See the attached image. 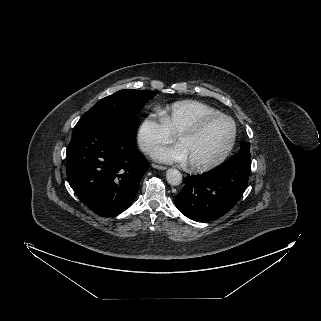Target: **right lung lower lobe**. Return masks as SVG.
I'll use <instances>...</instances> for the list:
<instances>
[{"mask_svg":"<svg viewBox=\"0 0 321 321\" xmlns=\"http://www.w3.org/2000/svg\"><path fill=\"white\" fill-rule=\"evenodd\" d=\"M67 178L92 211L112 217L134 201L148 162L126 123L73 130L66 150Z\"/></svg>","mask_w":321,"mask_h":321,"instance_id":"right-lung-lower-lobe-1","label":"right lung lower lobe"}]
</instances>
